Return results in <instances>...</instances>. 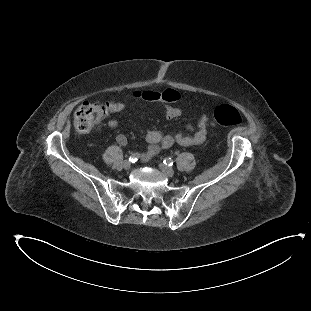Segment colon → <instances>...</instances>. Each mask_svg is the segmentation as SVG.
Instances as JSON below:
<instances>
[{"instance_id":"1","label":"colon","mask_w":311,"mask_h":311,"mask_svg":"<svg viewBox=\"0 0 311 311\" xmlns=\"http://www.w3.org/2000/svg\"><path fill=\"white\" fill-rule=\"evenodd\" d=\"M137 97L153 102H174L179 98L176 90L167 89L164 91L145 90L136 93ZM111 104L107 102L82 103L74 115L75 129L80 134L88 133L97 119L104 118ZM213 118L216 123L224 126H239L242 123L240 113L231 105H220L213 111Z\"/></svg>"}]
</instances>
